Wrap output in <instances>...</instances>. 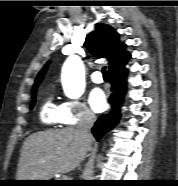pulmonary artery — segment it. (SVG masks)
<instances>
[{
  "label": "pulmonary artery",
  "mask_w": 178,
  "mask_h": 186,
  "mask_svg": "<svg viewBox=\"0 0 178 186\" xmlns=\"http://www.w3.org/2000/svg\"><path fill=\"white\" fill-rule=\"evenodd\" d=\"M91 80L95 83H101L103 81V77L100 72L96 71L91 74Z\"/></svg>",
  "instance_id": "pulmonary-artery-1"
}]
</instances>
